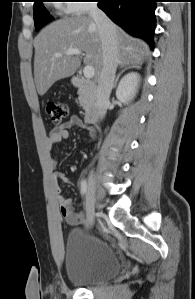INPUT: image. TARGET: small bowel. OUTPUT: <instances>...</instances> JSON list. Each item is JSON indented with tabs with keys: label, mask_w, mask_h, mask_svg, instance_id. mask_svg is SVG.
<instances>
[{
	"label": "small bowel",
	"mask_w": 195,
	"mask_h": 299,
	"mask_svg": "<svg viewBox=\"0 0 195 299\" xmlns=\"http://www.w3.org/2000/svg\"><path fill=\"white\" fill-rule=\"evenodd\" d=\"M82 127L85 128L86 126L81 121V119L73 115L69 121L59 125L58 127H55L50 132V135L48 137L47 143L50 148H54L59 143H61L63 140L67 139L69 134V129L72 127ZM91 135L94 136V132L91 130ZM50 166L52 168L53 177L56 181L55 185V192L57 194L58 204H59V210L61 216L65 219V221L72 226L80 225L86 221V216L82 212H74L72 209V203L70 199H68L66 196H64L61 193V188L59 185L60 181L66 182L68 179L65 176L64 173L57 170L56 166L57 163L54 159H50Z\"/></svg>",
	"instance_id": "small-bowel-1"
}]
</instances>
